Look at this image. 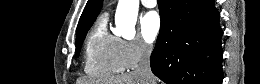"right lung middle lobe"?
Listing matches in <instances>:
<instances>
[{"label": "right lung middle lobe", "mask_w": 260, "mask_h": 84, "mask_svg": "<svg viewBox=\"0 0 260 84\" xmlns=\"http://www.w3.org/2000/svg\"><path fill=\"white\" fill-rule=\"evenodd\" d=\"M91 25L88 28H86L85 30H83L79 35L76 36V56L79 55V52H80V49H81V45L83 43V40H84V38L86 36L87 31L91 27Z\"/></svg>", "instance_id": "dd1d6c3e"}]
</instances>
